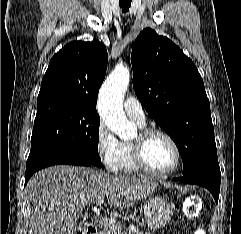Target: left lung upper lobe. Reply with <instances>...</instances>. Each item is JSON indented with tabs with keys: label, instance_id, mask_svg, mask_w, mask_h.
<instances>
[{
	"label": "left lung upper lobe",
	"instance_id": "left-lung-upper-lobe-1",
	"mask_svg": "<svg viewBox=\"0 0 241 234\" xmlns=\"http://www.w3.org/2000/svg\"><path fill=\"white\" fill-rule=\"evenodd\" d=\"M131 63L135 93L176 143L183 176L221 177L210 103L192 60L168 38L146 28L134 42Z\"/></svg>",
	"mask_w": 241,
	"mask_h": 234
}]
</instances>
